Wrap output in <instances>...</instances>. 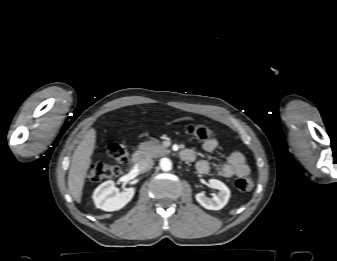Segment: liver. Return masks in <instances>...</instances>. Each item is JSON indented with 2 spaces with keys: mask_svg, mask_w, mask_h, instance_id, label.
<instances>
[{
  "mask_svg": "<svg viewBox=\"0 0 337 261\" xmlns=\"http://www.w3.org/2000/svg\"><path fill=\"white\" fill-rule=\"evenodd\" d=\"M96 142V131L94 128L89 129L82 141L76 147L69 169L68 188L69 193L77 202H81L85 178L91 165Z\"/></svg>",
  "mask_w": 337,
  "mask_h": 261,
  "instance_id": "liver-1",
  "label": "liver"
}]
</instances>
